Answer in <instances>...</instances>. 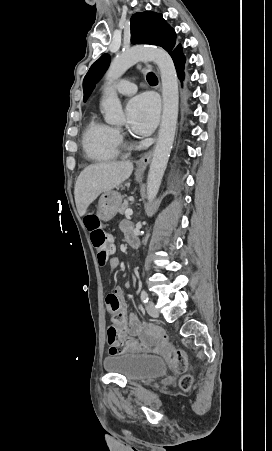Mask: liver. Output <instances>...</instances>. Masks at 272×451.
<instances>
[{
	"label": "liver",
	"instance_id": "6515ba94",
	"mask_svg": "<svg viewBox=\"0 0 272 451\" xmlns=\"http://www.w3.org/2000/svg\"><path fill=\"white\" fill-rule=\"evenodd\" d=\"M133 172L132 162H110L87 166L75 184V202L79 216H84L88 206L102 194L117 188Z\"/></svg>",
	"mask_w": 272,
	"mask_h": 451
}]
</instances>
